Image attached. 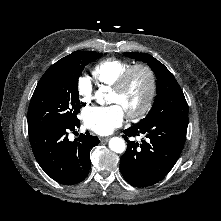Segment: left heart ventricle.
<instances>
[{
	"mask_svg": "<svg viewBox=\"0 0 221 221\" xmlns=\"http://www.w3.org/2000/svg\"><path fill=\"white\" fill-rule=\"evenodd\" d=\"M148 89L147 77L142 72H136L126 91L120 95L112 92L111 102L119 104L127 112L137 110L145 100Z\"/></svg>",
	"mask_w": 221,
	"mask_h": 221,
	"instance_id": "obj_1",
	"label": "left heart ventricle"
}]
</instances>
